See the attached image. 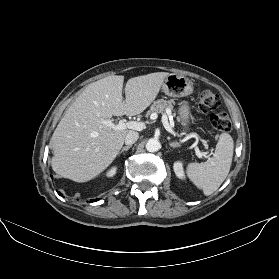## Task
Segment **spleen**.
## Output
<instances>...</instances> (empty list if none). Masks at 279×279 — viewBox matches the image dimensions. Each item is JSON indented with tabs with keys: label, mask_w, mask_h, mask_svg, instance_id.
<instances>
[{
	"label": "spleen",
	"mask_w": 279,
	"mask_h": 279,
	"mask_svg": "<svg viewBox=\"0 0 279 279\" xmlns=\"http://www.w3.org/2000/svg\"><path fill=\"white\" fill-rule=\"evenodd\" d=\"M234 142L228 133H222L212 158L204 163L191 162L187 165L189 179L203 190L204 195L213 194L226 179L233 157Z\"/></svg>",
	"instance_id": "1"
}]
</instances>
